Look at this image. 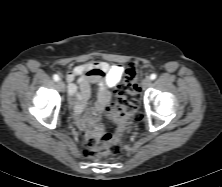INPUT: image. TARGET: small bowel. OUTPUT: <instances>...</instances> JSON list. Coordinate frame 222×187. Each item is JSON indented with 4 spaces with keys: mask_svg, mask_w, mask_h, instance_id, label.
I'll use <instances>...</instances> for the list:
<instances>
[{
    "mask_svg": "<svg viewBox=\"0 0 222 187\" xmlns=\"http://www.w3.org/2000/svg\"><path fill=\"white\" fill-rule=\"evenodd\" d=\"M124 68L120 64H110L104 61L89 62L71 68L67 73L68 93L74 115L80 123L85 122L82 116L88 106L91 96V85L98 89L97 100L94 104L95 117L104 111L111 98V89L117 86L123 76ZM77 80V84L74 81Z\"/></svg>",
    "mask_w": 222,
    "mask_h": 187,
    "instance_id": "obj_1",
    "label": "small bowel"
}]
</instances>
